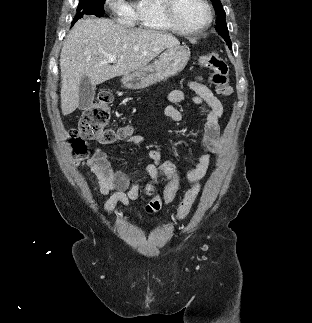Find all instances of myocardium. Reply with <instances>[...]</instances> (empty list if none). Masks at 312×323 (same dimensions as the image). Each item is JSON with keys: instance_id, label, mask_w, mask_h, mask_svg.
Segmentation results:
<instances>
[{"instance_id": "1", "label": "myocardium", "mask_w": 312, "mask_h": 323, "mask_svg": "<svg viewBox=\"0 0 312 323\" xmlns=\"http://www.w3.org/2000/svg\"><path fill=\"white\" fill-rule=\"evenodd\" d=\"M174 0H163L161 2V13L167 25H173L175 31H206V27L212 24V19L216 12L212 9V4L208 0H197L200 13L203 15V20H178L176 12H173L175 5Z\"/></svg>"}]
</instances>
